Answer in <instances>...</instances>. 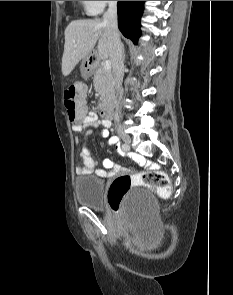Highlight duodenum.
Here are the masks:
<instances>
[{
    "label": "duodenum",
    "mask_w": 233,
    "mask_h": 295,
    "mask_svg": "<svg viewBox=\"0 0 233 295\" xmlns=\"http://www.w3.org/2000/svg\"><path fill=\"white\" fill-rule=\"evenodd\" d=\"M98 109L102 116L110 118L112 116V101L110 99H105L99 104Z\"/></svg>",
    "instance_id": "1"
}]
</instances>
